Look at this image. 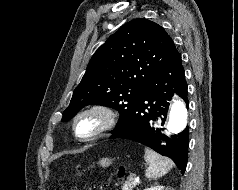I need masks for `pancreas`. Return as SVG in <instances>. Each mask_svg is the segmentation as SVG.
Masks as SVG:
<instances>
[{"instance_id":"1","label":"pancreas","mask_w":238,"mask_h":190,"mask_svg":"<svg viewBox=\"0 0 238 190\" xmlns=\"http://www.w3.org/2000/svg\"><path fill=\"white\" fill-rule=\"evenodd\" d=\"M138 185V182L130 176L123 184H122V190H133Z\"/></svg>"}]
</instances>
